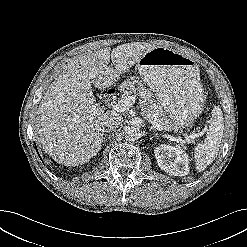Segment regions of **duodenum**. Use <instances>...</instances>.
Instances as JSON below:
<instances>
[{"label": "duodenum", "instance_id": "1", "mask_svg": "<svg viewBox=\"0 0 247 247\" xmlns=\"http://www.w3.org/2000/svg\"><path fill=\"white\" fill-rule=\"evenodd\" d=\"M116 91L115 88H110L108 91H107V94L110 95V94H114Z\"/></svg>", "mask_w": 247, "mask_h": 247}]
</instances>
